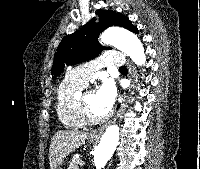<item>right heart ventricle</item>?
I'll use <instances>...</instances> for the list:
<instances>
[{
  "mask_svg": "<svg viewBox=\"0 0 200 169\" xmlns=\"http://www.w3.org/2000/svg\"><path fill=\"white\" fill-rule=\"evenodd\" d=\"M85 87L84 84L66 76L59 84L56 94V112L61 124L72 130L85 126L79 100L76 94Z\"/></svg>",
  "mask_w": 200,
  "mask_h": 169,
  "instance_id": "obj_1",
  "label": "right heart ventricle"
}]
</instances>
